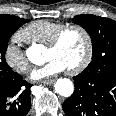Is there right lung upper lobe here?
I'll use <instances>...</instances> for the list:
<instances>
[{"instance_id": "1", "label": "right lung upper lobe", "mask_w": 116, "mask_h": 116, "mask_svg": "<svg viewBox=\"0 0 116 116\" xmlns=\"http://www.w3.org/2000/svg\"><path fill=\"white\" fill-rule=\"evenodd\" d=\"M0 16L5 17V18H9V19H20L19 17L13 16V15H0Z\"/></svg>"}]
</instances>
